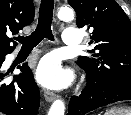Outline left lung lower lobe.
Returning <instances> with one entry per match:
<instances>
[{"mask_svg":"<svg viewBox=\"0 0 131 115\" xmlns=\"http://www.w3.org/2000/svg\"><path fill=\"white\" fill-rule=\"evenodd\" d=\"M80 96H72L69 102L68 115H84L96 108L122 100H131V85H105L92 81Z\"/></svg>","mask_w":131,"mask_h":115,"instance_id":"1","label":"left lung lower lobe"}]
</instances>
